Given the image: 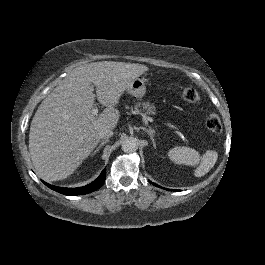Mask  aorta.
<instances>
[{
    "label": "aorta",
    "instance_id": "obj_1",
    "mask_svg": "<svg viewBox=\"0 0 265 265\" xmlns=\"http://www.w3.org/2000/svg\"><path fill=\"white\" fill-rule=\"evenodd\" d=\"M138 148V140L136 137H127L122 141V149L125 152H134Z\"/></svg>",
    "mask_w": 265,
    "mask_h": 265
}]
</instances>
